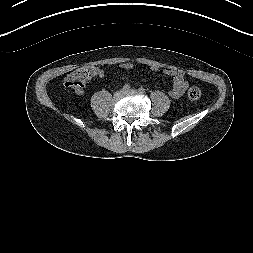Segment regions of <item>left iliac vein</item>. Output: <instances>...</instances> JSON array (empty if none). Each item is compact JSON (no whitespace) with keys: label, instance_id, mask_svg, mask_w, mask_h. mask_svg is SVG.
<instances>
[{"label":"left iliac vein","instance_id":"4c4485c4","mask_svg":"<svg viewBox=\"0 0 253 253\" xmlns=\"http://www.w3.org/2000/svg\"><path fill=\"white\" fill-rule=\"evenodd\" d=\"M125 92L131 93V94H136L137 93V91L135 89H127V90H125Z\"/></svg>","mask_w":253,"mask_h":253}]
</instances>
